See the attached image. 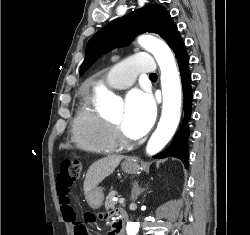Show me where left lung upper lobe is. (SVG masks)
Returning <instances> with one entry per match:
<instances>
[{
  "mask_svg": "<svg viewBox=\"0 0 250 235\" xmlns=\"http://www.w3.org/2000/svg\"><path fill=\"white\" fill-rule=\"evenodd\" d=\"M144 32L160 35L169 46L179 33L164 7L160 4H147L110 22L90 38L80 73L88 69L102 54L129 44L134 37Z\"/></svg>",
  "mask_w": 250,
  "mask_h": 235,
  "instance_id": "5c2ea615",
  "label": "left lung upper lobe"
}]
</instances>
